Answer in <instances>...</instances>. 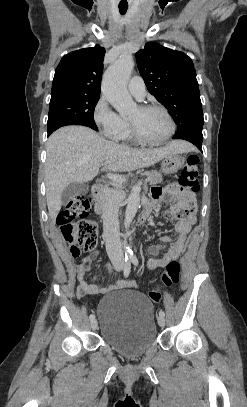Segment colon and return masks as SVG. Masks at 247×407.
I'll return each instance as SVG.
<instances>
[{"label": "colon", "mask_w": 247, "mask_h": 407, "mask_svg": "<svg viewBox=\"0 0 247 407\" xmlns=\"http://www.w3.org/2000/svg\"><path fill=\"white\" fill-rule=\"evenodd\" d=\"M199 158L195 154L187 157L179 184L191 192L197 193L200 189L199 183ZM92 207L91 199L77 195L71 198L67 206L59 213L57 224L60 227L64 239L71 245V253L78 256L80 251L91 253L97 246L99 228L95 221L88 219L87 215ZM161 286L149 292L152 302L158 303L161 299L160 289L162 286H172L180 280V265L176 261L169 262L160 274Z\"/></svg>", "instance_id": "1"}]
</instances>
